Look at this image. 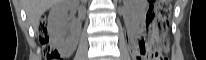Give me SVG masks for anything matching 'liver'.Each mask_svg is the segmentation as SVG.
I'll list each match as a JSON object with an SVG mask.
<instances>
[{
	"instance_id": "1",
	"label": "liver",
	"mask_w": 206,
	"mask_h": 60,
	"mask_svg": "<svg viewBox=\"0 0 206 60\" xmlns=\"http://www.w3.org/2000/svg\"><path fill=\"white\" fill-rule=\"evenodd\" d=\"M63 0H24L27 19L34 30L38 29L42 14L49 8L62 3Z\"/></svg>"
}]
</instances>
